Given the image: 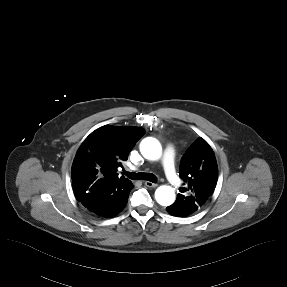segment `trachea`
Masks as SVG:
<instances>
[{"label":"trachea","mask_w":287,"mask_h":287,"mask_svg":"<svg viewBox=\"0 0 287 287\" xmlns=\"http://www.w3.org/2000/svg\"><path fill=\"white\" fill-rule=\"evenodd\" d=\"M123 174H125L129 179H132V180H147L152 183L157 182V177L154 174L134 173V172H126V171H124Z\"/></svg>","instance_id":"3493384b"}]
</instances>
